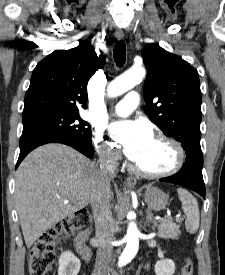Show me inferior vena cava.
<instances>
[{"mask_svg": "<svg viewBox=\"0 0 225 275\" xmlns=\"http://www.w3.org/2000/svg\"><path fill=\"white\" fill-rule=\"evenodd\" d=\"M119 154L107 149L100 158L99 186L92 196L91 207L96 228V238L99 242L96 262L92 275H107L112 255L114 240L113 217L110 206V181L117 165Z\"/></svg>", "mask_w": 225, "mask_h": 275, "instance_id": "inferior-vena-cava-1", "label": "inferior vena cava"}]
</instances>
